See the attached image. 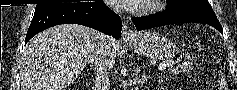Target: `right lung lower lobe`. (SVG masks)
Returning <instances> with one entry per match:
<instances>
[{
  "instance_id": "right-lung-lower-lobe-1",
  "label": "right lung lower lobe",
  "mask_w": 237,
  "mask_h": 90,
  "mask_svg": "<svg viewBox=\"0 0 237 90\" xmlns=\"http://www.w3.org/2000/svg\"><path fill=\"white\" fill-rule=\"evenodd\" d=\"M76 23L99 30L118 39L121 35V19L103 1L63 3L35 10L25 44L37 33L49 27Z\"/></svg>"
}]
</instances>
